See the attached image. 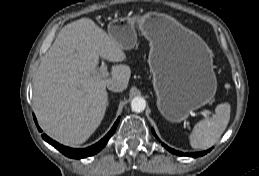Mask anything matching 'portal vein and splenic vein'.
Segmentation results:
<instances>
[{"mask_svg": "<svg viewBox=\"0 0 259 176\" xmlns=\"http://www.w3.org/2000/svg\"><path fill=\"white\" fill-rule=\"evenodd\" d=\"M100 72H101V74L102 75H104V76H107L108 75V71H107V66L105 65V64H101V66H100ZM210 114V112L208 111V110H205V111H203L202 112V115H204V116H208Z\"/></svg>", "mask_w": 259, "mask_h": 176, "instance_id": "portal-vein-and-splenic-vein-1", "label": "portal vein and splenic vein"}]
</instances>
